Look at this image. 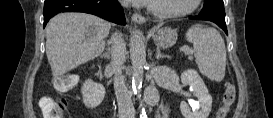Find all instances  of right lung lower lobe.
Listing matches in <instances>:
<instances>
[{
    "instance_id": "98d812e1",
    "label": "right lung lower lobe",
    "mask_w": 273,
    "mask_h": 118,
    "mask_svg": "<svg viewBox=\"0 0 273 118\" xmlns=\"http://www.w3.org/2000/svg\"><path fill=\"white\" fill-rule=\"evenodd\" d=\"M60 12H84L116 24H126L123 8L117 0H45L43 26Z\"/></svg>"
}]
</instances>
